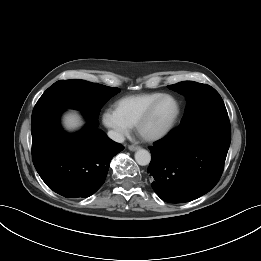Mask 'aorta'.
<instances>
[{
    "label": "aorta",
    "mask_w": 261,
    "mask_h": 261,
    "mask_svg": "<svg viewBox=\"0 0 261 261\" xmlns=\"http://www.w3.org/2000/svg\"><path fill=\"white\" fill-rule=\"evenodd\" d=\"M135 160L141 166H146L151 161V154L145 149H139L135 153Z\"/></svg>",
    "instance_id": "aorta-1"
}]
</instances>
